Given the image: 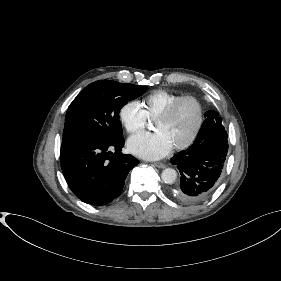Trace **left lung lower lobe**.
I'll use <instances>...</instances> for the list:
<instances>
[{
	"mask_svg": "<svg viewBox=\"0 0 281 281\" xmlns=\"http://www.w3.org/2000/svg\"><path fill=\"white\" fill-rule=\"evenodd\" d=\"M212 113L205 114L207 118L192 146L170 160L181 174L174 192L186 203L202 202L213 193L227 155V132Z\"/></svg>",
	"mask_w": 281,
	"mask_h": 281,
	"instance_id": "1",
	"label": "left lung lower lobe"
}]
</instances>
